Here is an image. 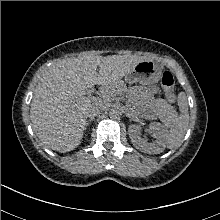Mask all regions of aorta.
<instances>
[{"label":"aorta","mask_w":220,"mask_h":220,"mask_svg":"<svg viewBox=\"0 0 220 220\" xmlns=\"http://www.w3.org/2000/svg\"><path fill=\"white\" fill-rule=\"evenodd\" d=\"M119 114V111L117 110V109H111L110 111H109V115L111 116V117H115V116H117Z\"/></svg>","instance_id":"aorta-1"}]
</instances>
